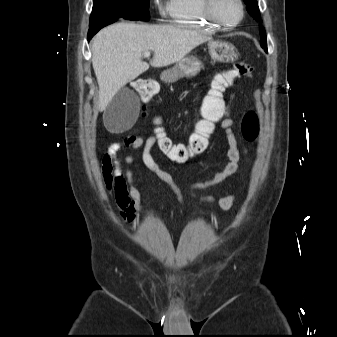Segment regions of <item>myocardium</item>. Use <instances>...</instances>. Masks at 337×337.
Masks as SVG:
<instances>
[{"label": "myocardium", "mask_w": 337, "mask_h": 337, "mask_svg": "<svg viewBox=\"0 0 337 337\" xmlns=\"http://www.w3.org/2000/svg\"><path fill=\"white\" fill-rule=\"evenodd\" d=\"M218 0H202V6H203V10H204V14L206 16V18L215 26H217L218 28H224V29H232L237 27L238 25H240L242 23V21L244 20L245 17V5L243 0H236L239 9H240V17L237 21L235 22H225L224 20H222L217 12H216V4H217Z\"/></svg>", "instance_id": "1"}]
</instances>
